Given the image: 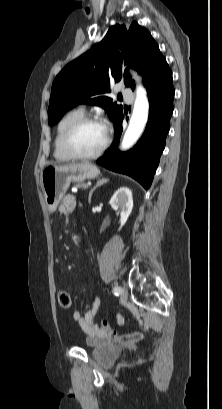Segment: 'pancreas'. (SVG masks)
<instances>
[{"label": "pancreas", "mask_w": 222, "mask_h": 409, "mask_svg": "<svg viewBox=\"0 0 222 409\" xmlns=\"http://www.w3.org/2000/svg\"><path fill=\"white\" fill-rule=\"evenodd\" d=\"M78 188H86L87 185L85 183L77 185Z\"/></svg>", "instance_id": "cf45deb5"}]
</instances>
